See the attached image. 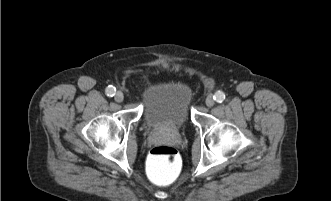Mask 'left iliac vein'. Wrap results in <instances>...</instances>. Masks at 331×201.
<instances>
[{
    "mask_svg": "<svg viewBox=\"0 0 331 201\" xmlns=\"http://www.w3.org/2000/svg\"><path fill=\"white\" fill-rule=\"evenodd\" d=\"M214 103H215V101H214L213 95L212 94L208 95L206 98V105L208 107H212L214 105Z\"/></svg>",
    "mask_w": 331,
    "mask_h": 201,
    "instance_id": "left-iliac-vein-1",
    "label": "left iliac vein"
}]
</instances>
